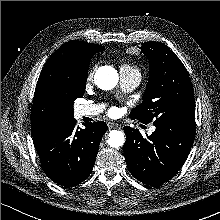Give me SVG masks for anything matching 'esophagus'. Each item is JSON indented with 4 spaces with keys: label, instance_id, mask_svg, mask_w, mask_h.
<instances>
[{
    "label": "esophagus",
    "instance_id": "1",
    "mask_svg": "<svg viewBox=\"0 0 220 220\" xmlns=\"http://www.w3.org/2000/svg\"><path fill=\"white\" fill-rule=\"evenodd\" d=\"M107 125L109 129H113L118 126L116 123H113V122H108Z\"/></svg>",
    "mask_w": 220,
    "mask_h": 220
}]
</instances>
